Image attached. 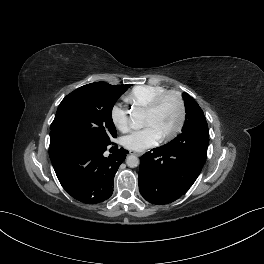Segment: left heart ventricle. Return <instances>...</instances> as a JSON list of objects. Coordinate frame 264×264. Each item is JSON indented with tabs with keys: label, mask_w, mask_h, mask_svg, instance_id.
I'll return each mask as SVG.
<instances>
[{
	"label": "left heart ventricle",
	"mask_w": 264,
	"mask_h": 264,
	"mask_svg": "<svg viewBox=\"0 0 264 264\" xmlns=\"http://www.w3.org/2000/svg\"><path fill=\"white\" fill-rule=\"evenodd\" d=\"M179 119V109L173 97L167 98L153 113H145V125H152L161 136L170 132Z\"/></svg>",
	"instance_id": "obj_1"
}]
</instances>
